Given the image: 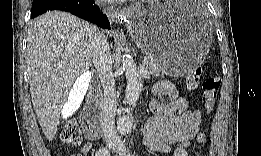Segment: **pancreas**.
Listing matches in <instances>:
<instances>
[{"instance_id": "obj_1", "label": "pancreas", "mask_w": 261, "mask_h": 156, "mask_svg": "<svg viewBox=\"0 0 261 156\" xmlns=\"http://www.w3.org/2000/svg\"><path fill=\"white\" fill-rule=\"evenodd\" d=\"M149 63L146 65L147 69L149 70L150 74L159 76L165 73V69L160 66L159 63L152 57L147 55Z\"/></svg>"}]
</instances>
